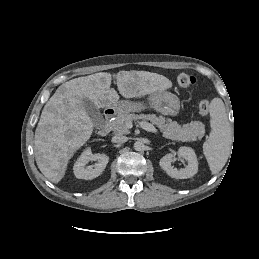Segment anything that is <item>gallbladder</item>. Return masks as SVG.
<instances>
[{
  "instance_id": "1",
  "label": "gallbladder",
  "mask_w": 259,
  "mask_h": 259,
  "mask_svg": "<svg viewBox=\"0 0 259 259\" xmlns=\"http://www.w3.org/2000/svg\"><path fill=\"white\" fill-rule=\"evenodd\" d=\"M83 105L93 124L97 127L102 126L104 118L99 109L87 98H83Z\"/></svg>"
}]
</instances>
